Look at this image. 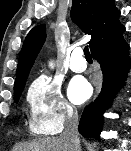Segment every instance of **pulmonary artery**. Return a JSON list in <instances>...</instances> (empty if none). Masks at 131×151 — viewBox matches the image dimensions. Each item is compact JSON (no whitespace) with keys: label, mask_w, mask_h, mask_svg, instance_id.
I'll use <instances>...</instances> for the list:
<instances>
[{"label":"pulmonary artery","mask_w":131,"mask_h":151,"mask_svg":"<svg viewBox=\"0 0 131 151\" xmlns=\"http://www.w3.org/2000/svg\"><path fill=\"white\" fill-rule=\"evenodd\" d=\"M82 55L83 52L79 48L72 52L69 67L73 72L80 73L86 70L87 64Z\"/></svg>","instance_id":"1"}]
</instances>
